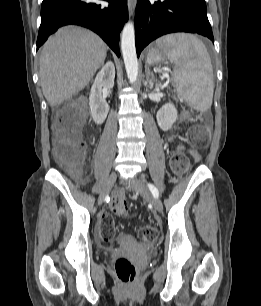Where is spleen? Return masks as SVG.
Instances as JSON below:
<instances>
[{
    "label": "spleen",
    "instance_id": "1",
    "mask_svg": "<svg viewBox=\"0 0 261 306\" xmlns=\"http://www.w3.org/2000/svg\"><path fill=\"white\" fill-rule=\"evenodd\" d=\"M168 50L174 64L173 85L187 104L199 111L210 109L214 78L209 53L196 36L187 33L165 35L156 41Z\"/></svg>",
    "mask_w": 261,
    "mask_h": 306
}]
</instances>
